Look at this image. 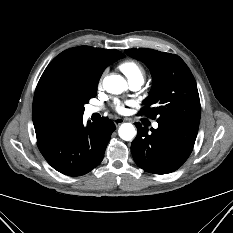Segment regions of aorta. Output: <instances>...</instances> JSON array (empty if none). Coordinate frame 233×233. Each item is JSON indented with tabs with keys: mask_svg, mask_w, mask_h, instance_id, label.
<instances>
[{
	"mask_svg": "<svg viewBox=\"0 0 233 233\" xmlns=\"http://www.w3.org/2000/svg\"><path fill=\"white\" fill-rule=\"evenodd\" d=\"M103 87L109 93L121 94L127 89V82L120 75H111L104 78ZM118 133L121 139L130 141L136 135V130L131 123H123Z\"/></svg>",
	"mask_w": 233,
	"mask_h": 233,
	"instance_id": "aorta-1",
	"label": "aorta"
}]
</instances>
